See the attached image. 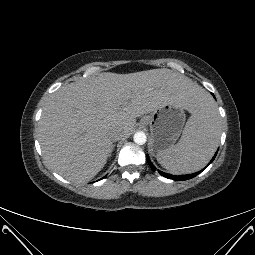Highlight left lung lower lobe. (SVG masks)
Segmentation results:
<instances>
[{
  "instance_id": "1",
  "label": "left lung lower lobe",
  "mask_w": 255,
  "mask_h": 255,
  "mask_svg": "<svg viewBox=\"0 0 255 255\" xmlns=\"http://www.w3.org/2000/svg\"><path fill=\"white\" fill-rule=\"evenodd\" d=\"M217 152L215 153L214 157L211 159L210 163L214 160L215 156H216ZM147 160H148V163L151 167V169L153 171H156V168L155 166L152 164V162L150 161V159L147 157ZM205 169V168H204ZM204 169H202L201 171L199 172H196V173H192V174H189V175H179V176H176V175H172V174H168V173H164L160 170H158L159 174H161L162 176L166 177V178H170V179H173V180H179V181H182V180H188V179H191L193 177H195L196 175H198L200 172H202Z\"/></svg>"
}]
</instances>
